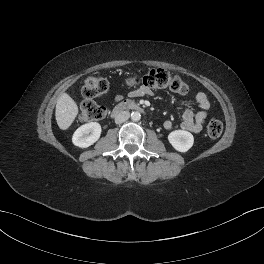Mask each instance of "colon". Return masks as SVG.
<instances>
[{"mask_svg":"<svg viewBox=\"0 0 264 264\" xmlns=\"http://www.w3.org/2000/svg\"><path fill=\"white\" fill-rule=\"evenodd\" d=\"M128 86L145 87L147 89H169L179 94L188 91L187 84L177 75H172L164 69H151L143 76H132L126 80ZM108 90L106 79L100 77H88L83 85L82 94L85 101L81 108L83 121H97L106 116V108L97 104L94 99L105 94ZM207 135L216 139L223 132V124L217 119H212L207 124Z\"/></svg>","mask_w":264,"mask_h":264,"instance_id":"colon-1","label":"colon"}]
</instances>
